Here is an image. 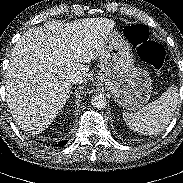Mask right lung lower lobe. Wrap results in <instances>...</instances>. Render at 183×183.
<instances>
[{"instance_id": "obj_1", "label": "right lung lower lobe", "mask_w": 183, "mask_h": 183, "mask_svg": "<svg viewBox=\"0 0 183 183\" xmlns=\"http://www.w3.org/2000/svg\"><path fill=\"white\" fill-rule=\"evenodd\" d=\"M67 143V140H65V141H61V142H59L58 144H56V145H52V146H58V147H63L65 144Z\"/></svg>"}]
</instances>
